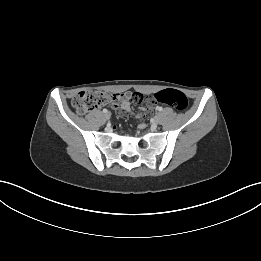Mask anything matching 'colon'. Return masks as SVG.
I'll return each mask as SVG.
<instances>
[{
    "instance_id": "5ec220e1",
    "label": "colon",
    "mask_w": 261,
    "mask_h": 261,
    "mask_svg": "<svg viewBox=\"0 0 261 261\" xmlns=\"http://www.w3.org/2000/svg\"><path fill=\"white\" fill-rule=\"evenodd\" d=\"M136 93L141 94L138 92ZM153 97L156 99V102L169 105L178 111L185 110L188 104L187 97L182 92L175 89L159 91ZM117 100L118 96L105 91L84 90L74 96L72 105L79 114H86L100 106Z\"/></svg>"
}]
</instances>
